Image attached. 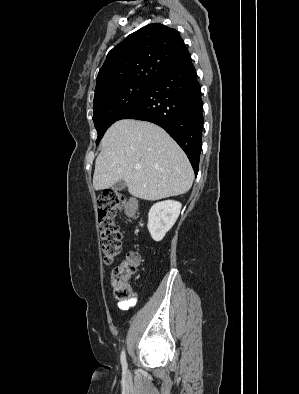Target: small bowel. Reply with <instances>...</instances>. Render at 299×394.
I'll list each match as a JSON object with an SVG mask.
<instances>
[{"label":"small bowel","instance_id":"small-bowel-1","mask_svg":"<svg viewBox=\"0 0 299 394\" xmlns=\"http://www.w3.org/2000/svg\"><path fill=\"white\" fill-rule=\"evenodd\" d=\"M135 303H136V299L133 298L129 301L118 302L117 306L120 310H128L131 307H133L135 305Z\"/></svg>","mask_w":299,"mask_h":394}]
</instances>
